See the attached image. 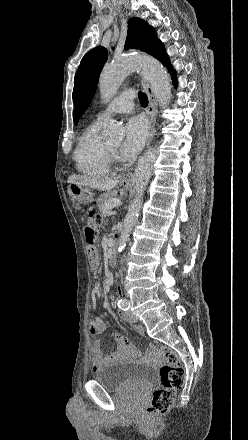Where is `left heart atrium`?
Segmentation results:
<instances>
[{
    "instance_id": "1",
    "label": "left heart atrium",
    "mask_w": 248,
    "mask_h": 440,
    "mask_svg": "<svg viewBox=\"0 0 248 440\" xmlns=\"http://www.w3.org/2000/svg\"><path fill=\"white\" fill-rule=\"evenodd\" d=\"M147 138V126L143 118L131 117L125 124V137L121 146L124 159L133 158L143 147Z\"/></svg>"
}]
</instances>
